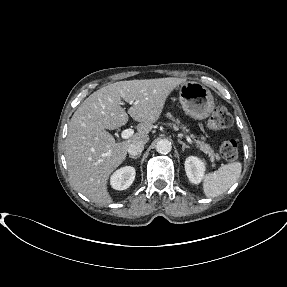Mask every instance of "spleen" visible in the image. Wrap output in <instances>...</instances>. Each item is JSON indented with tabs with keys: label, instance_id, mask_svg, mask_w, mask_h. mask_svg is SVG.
Segmentation results:
<instances>
[{
	"label": "spleen",
	"instance_id": "3e777b00",
	"mask_svg": "<svg viewBox=\"0 0 287 287\" xmlns=\"http://www.w3.org/2000/svg\"><path fill=\"white\" fill-rule=\"evenodd\" d=\"M242 164L233 162L222 165L218 170L206 174L203 181L205 196L214 198L226 192L241 175Z\"/></svg>",
	"mask_w": 287,
	"mask_h": 287
}]
</instances>
